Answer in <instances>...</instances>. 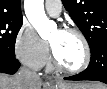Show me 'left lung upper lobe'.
<instances>
[{
  "label": "left lung upper lobe",
  "mask_w": 107,
  "mask_h": 89,
  "mask_svg": "<svg viewBox=\"0 0 107 89\" xmlns=\"http://www.w3.org/2000/svg\"><path fill=\"white\" fill-rule=\"evenodd\" d=\"M90 48L107 40V0H62Z\"/></svg>",
  "instance_id": "5c2ea615"
}]
</instances>
